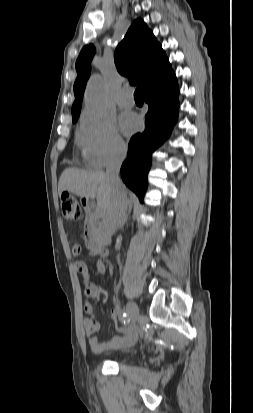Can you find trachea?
I'll return each mask as SVG.
<instances>
[{"mask_svg": "<svg viewBox=\"0 0 253 413\" xmlns=\"http://www.w3.org/2000/svg\"><path fill=\"white\" fill-rule=\"evenodd\" d=\"M135 99H143V90L142 88H137L134 93Z\"/></svg>", "mask_w": 253, "mask_h": 413, "instance_id": "obj_1", "label": "trachea"}]
</instances>
